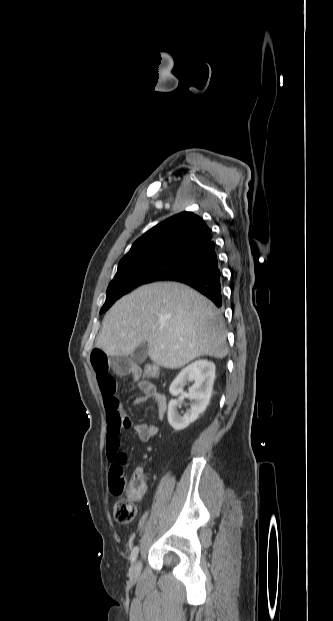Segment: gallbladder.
<instances>
[{
	"label": "gallbladder",
	"instance_id": "gallbladder-1",
	"mask_svg": "<svg viewBox=\"0 0 333 621\" xmlns=\"http://www.w3.org/2000/svg\"><path fill=\"white\" fill-rule=\"evenodd\" d=\"M148 356V343L140 344L131 354V360L136 364H142Z\"/></svg>",
	"mask_w": 333,
	"mask_h": 621
}]
</instances>
